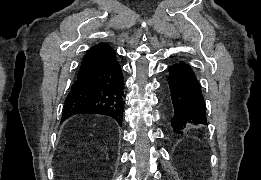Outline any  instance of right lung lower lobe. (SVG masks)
<instances>
[{
  "label": "right lung lower lobe",
  "instance_id": "right-lung-lower-lobe-1",
  "mask_svg": "<svg viewBox=\"0 0 261 180\" xmlns=\"http://www.w3.org/2000/svg\"><path fill=\"white\" fill-rule=\"evenodd\" d=\"M123 90L122 70L117 61L77 74L65 100L62 121L76 114L95 113L111 116L121 125Z\"/></svg>",
  "mask_w": 261,
  "mask_h": 180
}]
</instances>
